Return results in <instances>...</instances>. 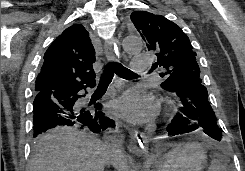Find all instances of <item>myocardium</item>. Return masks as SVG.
<instances>
[{
    "instance_id": "obj_1",
    "label": "myocardium",
    "mask_w": 245,
    "mask_h": 171,
    "mask_svg": "<svg viewBox=\"0 0 245 171\" xmlns=\"http://www.w3.org/2000/svg\"><path fill=\"white\" fill-rule=\"evenodd\" d=\"M171 105H172V102L170 100H167V106L171 107Z\"/></svg>"
}]
</instances>
